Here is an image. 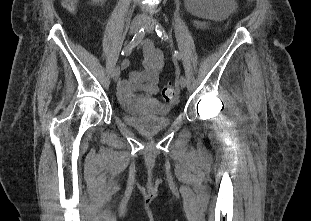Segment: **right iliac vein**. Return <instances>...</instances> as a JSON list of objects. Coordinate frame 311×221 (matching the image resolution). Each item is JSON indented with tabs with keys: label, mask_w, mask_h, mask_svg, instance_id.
Wrapping results in <instances>:
<instances>
[{
	"label": "right iliac vein",
	"mask_w": 311,
	"mask_h": 221,
	"mask_svg": "<svg viewBox=\"0 0 311 221\" xmlns=\"http://www.w3.org/2000/svg\"><path fill=\"white\" fill-rule=\"evenodd\" d=\"M143 26V22L139 20H135L130 25V34H135L137 31ZM120 78V68L116 67L113 71V79L114 81H118Z\"/></svg>",
	"instance_id": "1"
}]
</instances>
